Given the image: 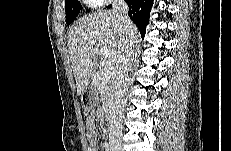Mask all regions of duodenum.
I'll use <instances>...</instances> for the list:
<instances>
[{
  "instance_id": "obj_1",
  "label": "duodenum",
  "mask_w": 231,
  "mask_h": 151,
  "mask_svg": "<svg viewBox=\"0 0 231 151\" xmlns=\"http://www.w3.org/2000/svg\"><path fill=\"white\" fill-rule=\"evenodd\" d=\"M111 119H112L111 113H110V112H107V113H106V120L108 121V123L111 122Z\"/></svg>"
}]
</instances>
